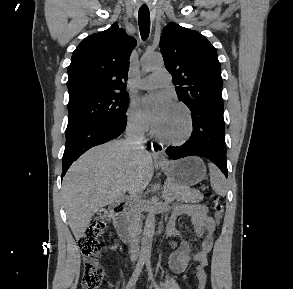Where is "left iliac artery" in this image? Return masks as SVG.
Instances as JSON below:
<instances>
[{"label": "left iliac artery", "mask_w": 293, "mask_h": 289, "mask_svg": "<svg viewBox=\"0 0 293 289\" xmlns=\"http://www.w3.org/2000/svg\"><path fill=\"white\" fill-rule=\"evenodd\" d=\"M146 267H147V272H148V276L149 279L151 280L152 285L154 286L155 289H161L158 284L156 283L154 276H153V272H152V267H151V261L150 259H146Z\"/></svg>", "instance_id": "left-iliac-artery-1"}]
</instances>
